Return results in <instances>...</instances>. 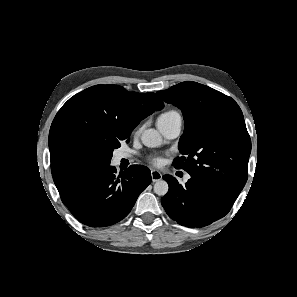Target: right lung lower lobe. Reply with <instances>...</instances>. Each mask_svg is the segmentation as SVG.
Returning <instances> with one entry per match:
<instances>
[{"instance_id": "98d812e1", "label": "right lung lower lobe", "mask_w": 297, "mask_h": 297, "mask_svg": "<svg viewBox=\"0 0 297 297\" xmlns=\"http://www.w3.org/2000/svg\"><path fill=\"white\" fill-rule=\"evenodd\" d=\"M116 173V168L109 166L90 176L62 202L87 226L106 227L119 222L152 179L150 170L143 165H131L124 175Z\"/></svg>"}]
</instances>
